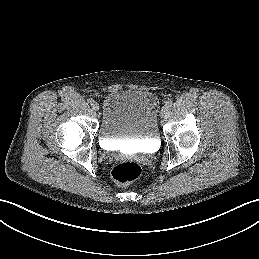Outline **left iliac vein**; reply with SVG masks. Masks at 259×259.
Here are the masks:
<instances>
[{"mask_svg": "<svg viewBox=\"0 0 259 259\" xmlns=\"http://www.w3.org/2000/svg\"><path fill=\"white\" fill-rule=\"evenodd\" d=\"M167 113H168V107L164 106L161 111H160V116L162 118H165L167 116Z\"/></svg>", "mask_w": 259, "mask_h": 259, "instance_id": "left-iliac-vein-1", "label": "left iliac vein"}]
</instances>
